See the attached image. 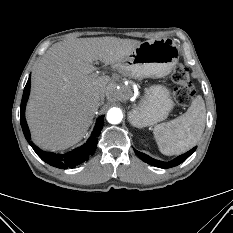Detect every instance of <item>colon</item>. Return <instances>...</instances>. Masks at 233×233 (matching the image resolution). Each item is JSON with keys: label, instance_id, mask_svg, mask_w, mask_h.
Returning <instances> with one entry per match:
<instances>
[{"label": "colon", "instance_id": "1", "mask_svg": "<svg viewBox=\"0 0 233 233\" xmlns=\"http://www.w3.org/2000/svg\"><path fill=\"white\" fill-rule=\"evenodd\" d=\"M172 80L176 84L172 91L175 101L182 106H188L194 95L188 70L182 64H177L172 72Z\"/></svg>", "mask_w": 233, "mask_h": 233}]
</instances>
